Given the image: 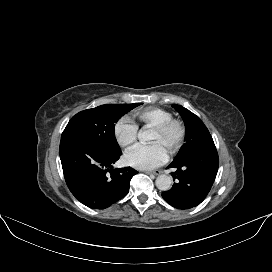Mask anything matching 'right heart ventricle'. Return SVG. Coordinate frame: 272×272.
<instances>
[{
    "mask_svg": "<svg viewBox=\"0 0 272 272\" xmlns=\"http://www.w3.org/2000/svg\"><path fill=\"white\" fill-rule=\"evenodd\" d=\"M132 118L145 127H155L160 123L172 118L171 112L160 107H145L135 110Z\"/></svg>",
    "mask_w": 272,
    "mask_h": 272,
    "instance_id": "1",
    "label": "right heart ventricle"
}]
</instances>
